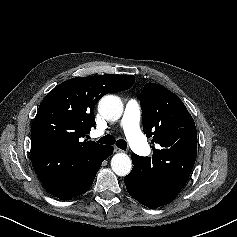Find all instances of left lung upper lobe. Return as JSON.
I'll return each mask as SVG.
<instances>
[{
	"mask_svg": "<svg viewBox=\"0 0 237 237\" xmlns=\"http://www.w3.org/2000/svg\"><path fill=\"white\" fill-rule=\"evenodd\" d=\"M143 130L153 156L134 155L144 180L159 190H180L188 181L197 156L195 123L180 98L165 87L147 83L140 95Z\"/></svg>",
	"mask_w": 237,
	"mask_h": 237,
	"instance_id": "1",
	"label": "left lung upper lobe"
}]
</instances>
